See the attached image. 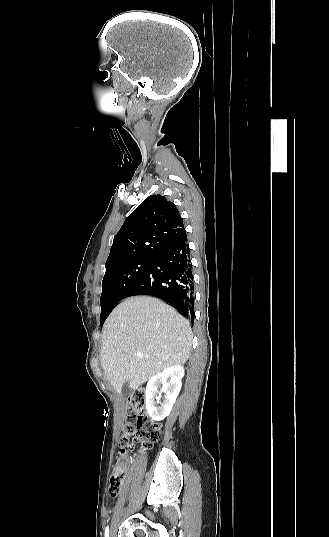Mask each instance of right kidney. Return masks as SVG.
Wrapping results in <instances>:
<instances>
[{
    "label": "right kidney",
    "instance_id": "1",
    "mask_svg": "<svg viewBox=\"0 0 329 537\" xmlns=\"http://www.w3.org/2000/svg\"><path fill=\"white\" fill-rule=\"evenodd\" d=\"M183 376L184 367L182 365H173L153 375L148 380L145 389V404L152 420L161 421L170 414L180 392ZM161 385V389L158 390ZM162 393L164 397L161 402ZM159 403L160 406L157 407L156 404Z\"/></svg>",
    "mask_w": 329,
    "mask_h": 537
}]
</instances>
